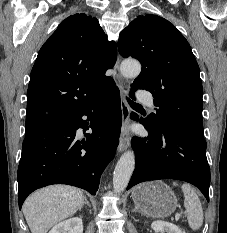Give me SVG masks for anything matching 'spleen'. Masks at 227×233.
<instances>
[{"mask_svg":"<svg viewBox=\"0 0 227 233\" xmlns=\"http://www.w3.org/2000/svg\"><path fill=\"white\" fill-rule=\"evenodd\" d=\"M174 186H178L176 182H173ZM184 193V206L187 213V220L192 230H198L203 224V209L201 202L195 192V190L189 184H183L181 186Z\"/></svg>","mask_w":227,"mask_h":233,"instance_id":"3e777b00","label":"spleen"}]
</instances>
